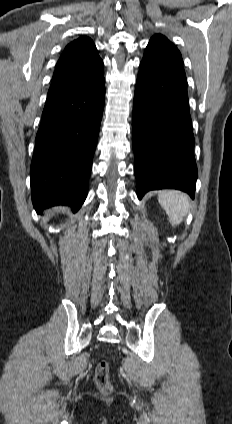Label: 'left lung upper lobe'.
Listing matches in <instances>:
<instances>
[{
	"instance_id": "1",
	"label": "left lung upper lobe",
	"mask_w": 232,
	"mask_h": 424,
	"mask_svg": "<svg viewBox=\"0 0 232 424\" xmlns=\"http://www.w3.org/2000/svg\"><path fill=\"white\" fill-rule=\"evenodd\" d=\"M141 63L153 66L182 65L183 60L175 45L158 34L151 38Z\"/></svg>"
}]
</instances>
